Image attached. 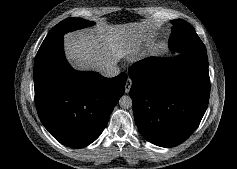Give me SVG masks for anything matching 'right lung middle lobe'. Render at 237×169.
<instances>
[{
    "label": "right lung middle lobe",
    "instance_id": "right-lung-middle-lobe-1",
    "mask_svg": "<svg viewBox=\"0 0 237 169\" xmlns=\"http://www.w3.org/2000/svg\"><path fill=\"white\" fill-rule=\"evenodd\" d=\"M94 25V22H88L86 20H83L81 18H70L65 19L61 21L59 24H57L46 36L45 39H50L54 37L63 36L65 33L84 28L87 26Z\"/></svg>",
    "mask_w": 237,
    "mask_h": 169
}]
</instances>
